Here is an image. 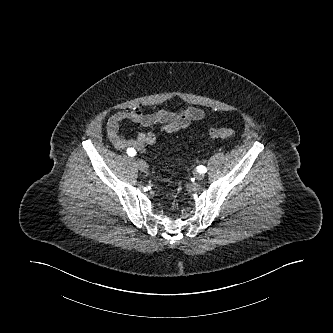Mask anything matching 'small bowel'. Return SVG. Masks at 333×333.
Returning a JSON list of instances; mask_svg holds the SVG:
<instances>
[{
    "instance_id": "obj_1",
    "label": "small bowel",
    "mask_w": 333,
    "mask_h": 333,
    "mask_svg": "<svg viewBox=\"0 0 333 333\" xmlns=\"http://www.w3.org/2000/svg\"><path fill=\"white\" fill-rule=\"evenodd\" d=\"M204 113L197 108H185L178 112L159 109L151 113H143L138 109H122L112 114L107 121V135L110 142L118 150L135 148L142 150L156 143L153 128L162 132L176 133L187 128L194 121L202 119ZM123 122H131L149 128L135 136H125L120 132Z\"/></svg>"
}]
</instances>
